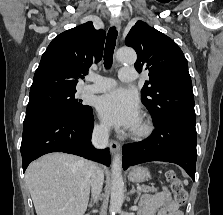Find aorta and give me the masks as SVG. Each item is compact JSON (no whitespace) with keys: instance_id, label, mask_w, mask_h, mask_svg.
Segmentation results:
<instances>
[{"instance_id":"aorta-1","label":"aorta","mask_w":223,"mask_h":215,"mask_svg":"<svg viewBox=\"0 0 223 215\" xmlns=\"http://www.w3.org/2000/svg\"><path fill=\"white\" fill-rule=\"evenodd\" d=\"M117 62H123V64H135L137 60L136 52L132 48H120L116 52ZM112 183H111V199L109 211L111 215H115L124 201V181L122 177V161L120 153L114 155L112 161Z\"/></svg>"}]
</instances>
